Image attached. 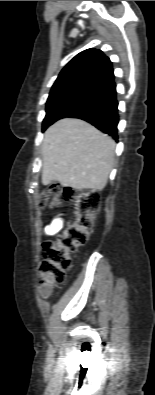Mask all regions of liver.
Instances as JSON below:
<instances>
[{
    "mask_svg": "<svg viewBox=\"0 0 155 395\" xmlns=\"http://www.w3.org/2000/svg\"><path fill=\"white\" fill-rule=\"evenodd\" d=\"M114 140L91 124L64 118L51 125L42 145V183L102 190L113 168Z\"/></svg>",
    "mask_w": 155,
    "mask_h": 395,
    "instance_id": "6515ba94",
    "label": "liver"
}]
</instances>
